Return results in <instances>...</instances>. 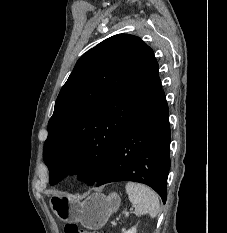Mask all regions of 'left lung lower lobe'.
<instances>
[{
  "instance_id": "left-lung-lower-lobe-1",
  "label": "left lung lower lobe",
  "mask_w": 227,
  "mask_h": 233,
  "mask_svg": "<svg viewBox=\"0 0 227 233\" xmlns=\"http://www.w3.org/2000/svg\"><path fill=\"white\" fill-rule=\"evenodd\" d=\"M168 117V105L161 91L122 132L96 186L135 181L152 187L165 203L170 169Z\"/></svg>"
}]
</instances>
